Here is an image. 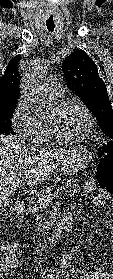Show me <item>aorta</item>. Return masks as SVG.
Here are the masks:
<instances>
[{
    "instance_id": "762f6f07",
    "label": "aorta",
    "mask_w": 113,
    "mask_h": 279,
    "mask_svg": "<svg viewBox=\"0 0 113 279\" xmlns=\"http://www.w3.org/2000/svg\"><path fill=\"white\" fill-rule=\"evenodd\" d=\"M40 69H43V67H41ZM29 92L30 91H28L27 88H24V93H26L30 101L33 102L35 111L37 112L45 111L47 108L45 101L43 99H39L38 97L34 96L33 93H29Z\"/></svg>"
}]
</instances>
